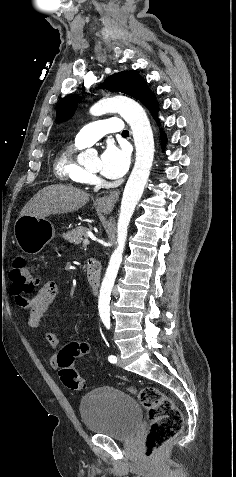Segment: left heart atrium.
<instances>
[{"instance_id":"left-heart-atrium-1","label":"left heart atrium","mask_w":236,"mask_h":477,"mask_svg":"<svg viewBox=\"0 0 236 477\" xmlns=\"http://www.w3.org/2000/svg\"><path fill=\"white\" fill-rule=\"evenodd\" d=\"M128 166V152L124 148L109 143L100 157L101 174L110 179H117L125 174Z\"/></svg>"}]
</instances>
